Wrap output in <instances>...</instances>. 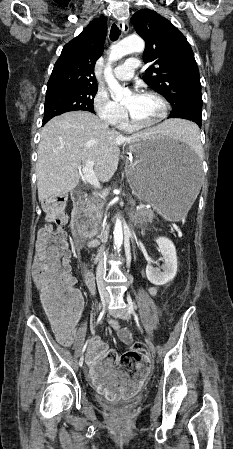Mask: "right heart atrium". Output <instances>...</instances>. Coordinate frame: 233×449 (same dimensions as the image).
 I'll list each match as a JSON object with an SVG mask.
<instances>
[{
	"label": "right heart atrium",
	"instance_id": "right-heart-atrium-1",
	"mask_svg": "<svg viewBox=\"0 0 233 449\" xmlns=\"http://www.w3.org/2000/svg\"><path fill=\"white\" fill-rule=\"evenodd\" d=\"M92 104L98 117L108 125H116L126 115L124 107L115 102L108 91L102 88L97 90Z\"/></svg>",
	"mask_w": 233,
	"mask_h": 449
}]
</instances>
